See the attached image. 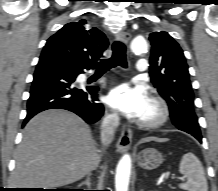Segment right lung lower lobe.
<instances>
[{
    "mask_svg": "<svg viewBox=\"0 0 218 191\" xmlns=\"http://www.w3.org/2000/svg\"><path fill=\"white\" fill-rule=\"evenodd\" d=\"M58 59H40L27 102V116L23 126L37 113L47 109H65L83 118L87 123L97 122L104 112L98 103L96 86L78 87L74 82L84 69Z\"/></svg>",
    "mask_w": 218,
    "mask_h": 191,
    "instance_id": "98d812e1",
    "label": "right lung lower lobe"
}]
</instances>
